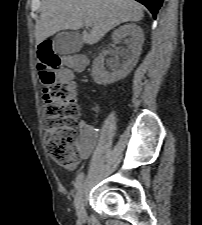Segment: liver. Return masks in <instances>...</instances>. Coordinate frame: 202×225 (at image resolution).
<instances>
[{
    "label": "liver",
    "mask_w": 202,
    "mask_h": 225,
    "mask_svg": "<svg viewBox=\"0 0 202 225\" xmlns=\"http://www.w3.org/2000/svg\"><path fill=\"white\" fill-rule=\"evenodd\" d=\"M143 16L142 5L134 0H43L35 28L36 44L61 30L81 29L89 21L91 30H84L82 39L93 45L117 25L140 21Z\"/></svg>",
    "instance_id": "6515ba94"
}]
</instances>
